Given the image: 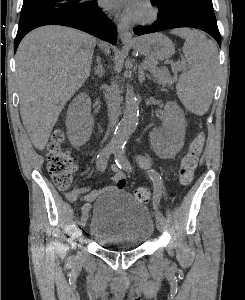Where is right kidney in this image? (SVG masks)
Instances as JSON below:
<instances>
[{
    "instance_id": "obj_1",
    "label": "right kidney",
    "mask_w": 245,
    "mask_h": 300,
    "mask_svg": "<svg viewBox=\"0 0 245 300\" xmlns=\"http://www.w3.org/2000/svg\"><path fill=\"white\" fill-rule=\"evenodd\" d=\"M66 127L68 139L74 147H81L89 140L94 119L91 115V100L87 94H79L69 105Z\"/></svg>"
}]
</instances>
